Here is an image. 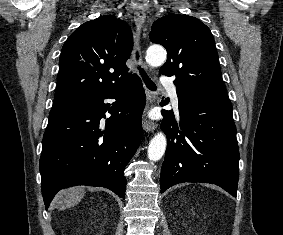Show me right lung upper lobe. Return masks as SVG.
I'll list each match as a JSON object with an SVG mask.
<instances>
[{
	"instance_id": "cb5924a9",
	"label": "right lung upper lobe",
	"mask_w": 283,
	"mask_h": 235,
	"mask_svg": "<svg viewBox=\"0 0 283 235\" xmlns=\"http://www.w3.org/2000/svg\"><path fill=\"white\" fill-rule=\"evenodd\" d=\"M132 47L130 27L112 15L82 24L62 48L54 104L78 102L127 82L134 76L126 66Z\"/></svg>"
}]
</instances>
